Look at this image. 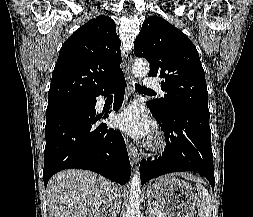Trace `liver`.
<instances>
[{"label":"liver","instance_id":"6515ba94","mask_svg":"<svg viewBox=\"0 0 253 217\" xmlns=\"http://www.w3.org/2000/svg\"><path fill=\"white\" fill-rule=\"evenodd\" d=\"M181 176L196 179L191 174ZM113 187L112 182L88 170L58 172L47 187L49 217H109Z\"/></svg>","mask_w":253,"mask_h":217}]
</instances>
